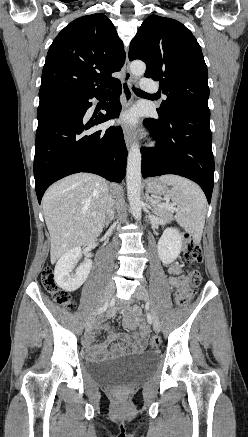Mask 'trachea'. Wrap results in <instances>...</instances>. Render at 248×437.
Wrapping results in <instances>:
<instances>
[{"label":"trachea","mask_w":248,"mask_h":437,"mask_svg":"<svg viewBox=\"0 0 248 437\" xmlns=\"http://www.w3.org/2000/svg\"><path fill=\"white\" fill-rule=\"evenodd\" d=\"M106 92H110V90H107ZM135 92L138 94H147L144 91L140 90V89H135Z\"/></svg>","instance_id":"obj_1"}]
</instances>
